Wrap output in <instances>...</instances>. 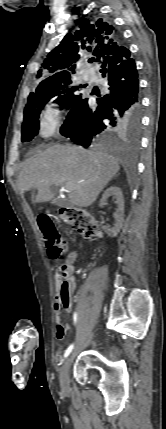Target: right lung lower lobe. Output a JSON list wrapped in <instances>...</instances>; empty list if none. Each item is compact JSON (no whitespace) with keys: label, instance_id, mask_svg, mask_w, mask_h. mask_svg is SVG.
Returning a JSON list of instances; mask_svg holds the SVG:
<instances>
[{"label":"right lung lower lobe","instance_id":"98d812e1","mask_svg":"<svg viewBox=\"0 0 166 429\" xmlns=\"http://www.w3.org/2000/svg\"><path fill=\"white\" fill-rule=\"evenodd\" d=\"M123 47V46H122ZM101 73L108 80V93L98 96L96 110L81 95L70 108L60 133L85 148L97 143L104 131L136 135L140 129L139 79L128 49L101 61Z\"/></svg>","mask_w":166,"mask_h":429}]
</instances>
